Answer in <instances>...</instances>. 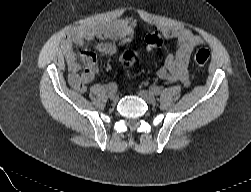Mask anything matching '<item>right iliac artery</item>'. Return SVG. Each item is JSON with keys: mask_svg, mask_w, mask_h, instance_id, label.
<instances>
[{"mask_svg": "<svg viewBox=\"0 0 251 192\" xmlns=\"http://www.w3.org/2000/svg\"><path fill=\"white\" fill-rule=\"evenodd\" d=\"M105 89L110 92V91H117V84L115 82H111L108 85L105 86Z\"/></svg>", "mask_w": 251, "mask_h": 192, "instance_id": "right-iliac-artery-1", "label": "right iliac artery"}]
</instances>
